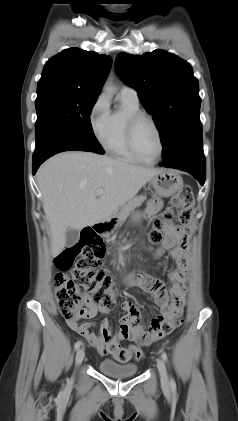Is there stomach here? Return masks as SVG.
Instances as JSON below:
<instances>
[{
  "mask_svg": "<svg viewBox=\"0 0 238 421\" xmlns=\"http://www.w3.org/2000/svg\"><path fill=\"white\" fill-rule=\"evenodd\" d=\"M149 184L153 187L156 195L169 197L183 188V179L175 170L163 169L149 180ZM131 220L133 223H139L141 213L139 211L133 212Z\"/></svg>",
  "mask_w": 238,
  "mask_h": 421,
  "instance_id": "obj_1",
  "label": "stomach"
}]
</instances>
